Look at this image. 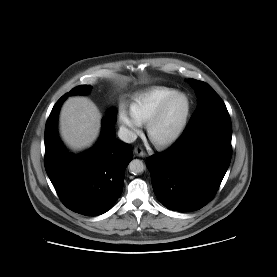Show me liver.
Listing matches in <instances>:
<instances>
[{
    "label": "liver",
    "instance_id": "liver-1",
    "mask_svg": "<svg viewBox=\"0 0 277 277\" xmlns=\"http://www.w3.org/2000/svg\"><path fill=\"white\" fill-rule=\"evenodd\" d=\"M101 114L86 97H71L60 114V133L64 142L74 151L90 147L99 136Z\"/></svg>",
    "mask_w": 277,
    "mask_h": 277
}]
</instances>
